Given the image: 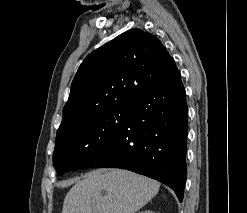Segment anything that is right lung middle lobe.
Segmentation results:
<instances>
[{
    "mask_svg": "<svg viewBox=\"0 0 247 213\" xmlns=\"http://www.w3.org/2000/svg\"><path fill=\"white\" fill-rule=\"evenodd\" d=\"M131 112L132 105L126 100L57 136L53 154L57 173L62 175L73 169H86L94 165Z\"/></svg>",
    "mask_w": 247,
    "mask_h": 213,
    "instance_id": "dd1d6c3e",
    "label": "right lung middle lobe"
}]
</instances>
